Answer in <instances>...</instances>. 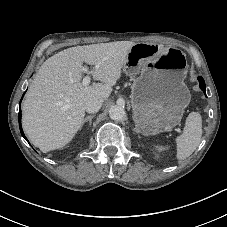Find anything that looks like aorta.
Listing matches in <instances>:
<instances>
[{
	"instance_id": "aorta-1",
	"label": "aorta",
	"mask_w": 227,
	"mask_h": 227,
	"mask_svg": "<svg viewBox=\"0 0 227 227\" xmlns=\"http://www.w3.org/2000/svg\"><path fill=\"white\" fill-rule=\"evenodd\" d=\"M109 116L112 120L120 121L125 117V109L120 105H114L109 110Z\"/></svg>"
}]
</instances>
